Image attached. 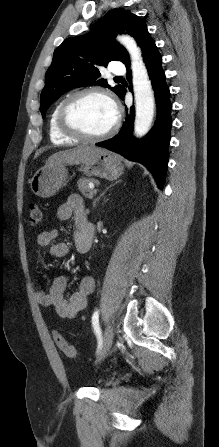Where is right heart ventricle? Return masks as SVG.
Masks as SVG:
<instances>
[{
    "label": "right heart ventricle",
    "instance_id": "1",
    "mask_svg": "<svg viewBox=\"0 0 219 447\" xmlns=\"http://www.w3.org/2000/svg\"><path fill=\"white\" fill-rule=\"evenodd\" d=\"M62 101H59L52 109L49 119H48V135L51 142L55 144H71L79 141V139L70 137L64 134L58 127L57 124V115L62 104Z\"/></svg>",
    "mask_w": 219,
    "mask_h": 447
}]
</instances>
